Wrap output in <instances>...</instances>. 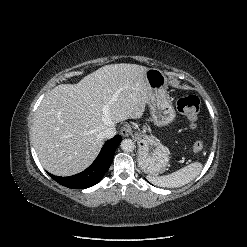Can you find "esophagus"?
I'll list each match as a JSON object with an SVG mask.
<instances>
[{
  "label": "esophagus",
  "mask_w": 247,
  "mask_h": 247,
  "mask_svg": "<svg viewBox=\"0 0 247 247\" xmlns=\"http://www.w3.org/2000/svg\"><path fill=\"white\" fill-rule=\"evenodd\" d=\"M132 133H133V130H132L131 126L128 124L123 125L121 130H120V134L123 137H128V136L132 135Z\"/></svg>",
  "instance_id": "1"
}]
</instances>
